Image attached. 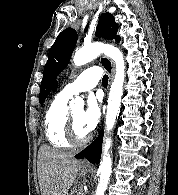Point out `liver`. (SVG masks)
<instances>
[{
    "label": "liver",
    "instance_id": "1",
    "mask_svg": "<svg viewBox=\"0 0 178 195\" xmlns=\"http://www.w3.org/2000/svg\"><path fill=\"white\" fill-rule=\"evenodd\" d=\"M79 172L72 155L42 145L38 153V181L41 195H68Z\"/></svg>",
    "mask_w": 178,
    "mask_h": 195
}]
</instances>
